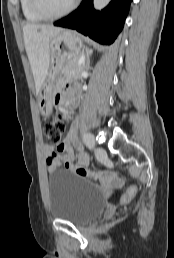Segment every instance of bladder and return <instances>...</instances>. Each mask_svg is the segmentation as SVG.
<instances>
[{"label":"bladder","mask_w":174,"mask_h":258,"mask_svg":"<svg viewBox=\"0 0 174 258\" xmlns=\"http://www.w3.org/2000/svg\"><path fill=\"white\" fill-rule=\"evenodd\" d=\"M48 210L54 219L84 225L106 208L103 192L76 174L65 170L50 172Z\"/></svg>","instance_id":"obj_1"}]
</instances>
